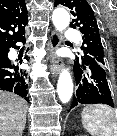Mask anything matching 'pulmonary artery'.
Listing matches in <instances>:
<instances>
[{
  "label": "pulmonary artery",
  "instance_id": "e3ab8cb5",
  "mask_svg": "<svg viewBox=\"0 0 117 136\" xmlns=\"http://www.w3.org/2000/svg\"><path fill=\"white\" fill-rule=\"evenodd\" d=\"M66 38L74 40L77 43H81V36L74 30L68 29L65 34Z\"/></svg>",
  "mask_w": 117,
  "mask_h": 136
}]
</instances>
